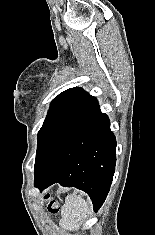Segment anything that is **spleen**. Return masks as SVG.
Segmentation results:
<instances>
[{"mask_svg":"<svg viewBox=\"0 0 155 235\" xmlns=\"http://www.w3.org/2000/svg\"><path fill=\"white\" fill-rule=\"evenodd\" d=\"M92 210L91 204L82 196L70 195L61 210L60 225L65 230H78Z\"/></svg>","mask_w":155,"mask_h":235,"instance_id":"obj_1","label":"spleen"}]
</instances>
